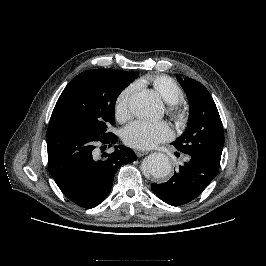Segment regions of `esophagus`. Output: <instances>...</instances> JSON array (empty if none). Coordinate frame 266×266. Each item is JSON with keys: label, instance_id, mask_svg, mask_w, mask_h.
Returning a JSON list of instances; mask_svg holds the SVG:
<instances>
[{"label": "esophagus", "instance_id": "obj_1", "mask_svg": "<svg viewBox=\"0 0 266 266\" xmlns=\"http://www.w3.org/2000/svg\"><path fill=\"white\" fill-rule=\"evenodd\" d=\"M135 153L138 157H142V156H145L146 154H148L147 151H143V150H135Z\"/></svg>", "mask_w": 266, "mask_h": 266}]
</instances>
